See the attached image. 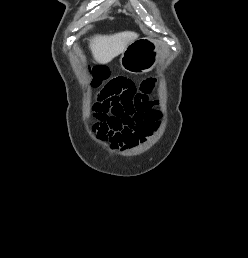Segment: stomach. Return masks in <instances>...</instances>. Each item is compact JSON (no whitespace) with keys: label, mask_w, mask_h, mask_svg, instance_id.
Instances as JSON below:
<instances>
[{"label":"stomach","mask_w":248,"mask_h":258,"mask_svg":"<svg viewBox=\"0 0 248 258\" xmlns=\"http://www.w3.org/2000/svg\"><path fill=\"white\" fill-rule=\"evenodd\" d=\"M161 54V47L157 40L149 37L136 39L122 53L120 65L128 73H145L155 67Z\"/></svg>","instance_id":"1"}]
</instances>
